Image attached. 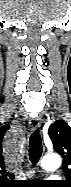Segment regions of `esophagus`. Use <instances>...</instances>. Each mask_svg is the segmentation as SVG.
<instances>
[{
	"instance_id": "obj_1",
	"label": "esophagus",
	"mask_w": 71,
	"mask_h": 187,
	"mask_svg": "<svg viewBox=\"0 0 71 187\" xmlns=\"http://www.w3.org/2000/svg\"><path fill=\"white\" fill-rule=\"evenodd\" d=\"M30 128L31 130H36L37 128L41 127V118L40 117H34L32 119H30L29 122Z\"/></svg>"
}]
</instances>
